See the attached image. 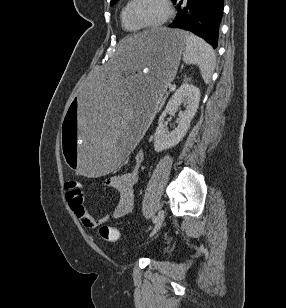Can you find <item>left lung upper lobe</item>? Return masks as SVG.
<instances>
[{
  "label": "left lung upper lobe",
  "instance_id": "1",
  "mask_svg": "<svg viewBox=\"0 0 286 308\" xmlns=\"http://www.w3.org/2000/svg\"><path fill=\"white\" fill-rule=\"evenodd\" d=\"M118 0H111V4L110 5H114Z\"/></svg>",
  "mask_w": 286,
  "mask_h": 308
}]
</instances>
